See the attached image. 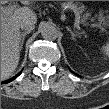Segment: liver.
<instances>
[{
  "mask_svg": "<svg viewBox=\"0 0 109 109\" xmlns=\"http://www.w3.org/2000/svg\"><path fill=\"white\" fill-rule=\"evenodd\" d=\"M28 5V2H23ZM6 10V9H5ZM4 11V10H3ZM24 21L37 22L36 14L29 7H22L1 18V77H9L18 66L20 57V24Z\"/></svg>",
  "mask_w": 109,
  "mask_h": 109,
  "instance_id": "liver-1",
  "label": "liver"
}]
</instances>
